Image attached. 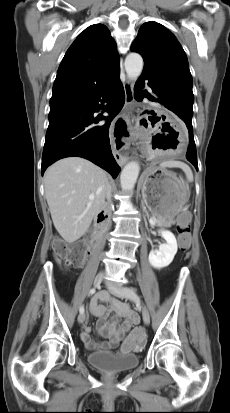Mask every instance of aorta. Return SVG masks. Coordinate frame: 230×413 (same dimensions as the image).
<instances>
[{"label": "aorta", "mask_w": 230, "mask_h": 413, "mask_svg": "<svg viewBox=\"0 0 230 413\" xmlns=\"http://www.w3.org/2000/svg\"><path fill=\"white\" fill-rule=\"evenodd\" d=\"M125 70L131 79H137L143 70V59L138 53H130L125 59ZM140 166L132 161L125 165L120 175V186L124 191H132L136 184Z\"/></svg>", "instance_id": "obj_1"}]
</instances>
